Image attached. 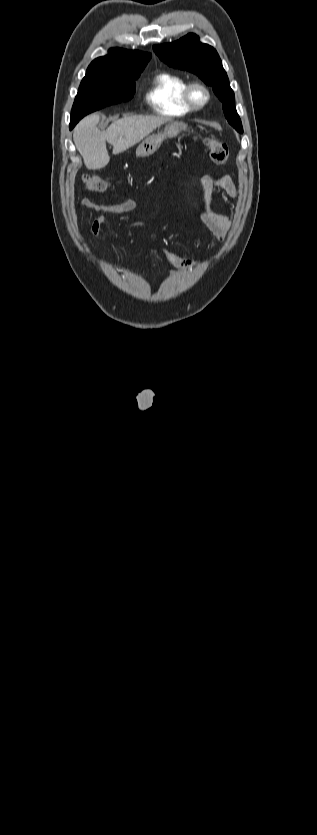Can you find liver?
Returning <instances> with one entry per match:
<instances>
[{
    "label": "liver",
    "mask_w": 317,
    "mask_h": 835,
    "mask_svg": "<svg viewBox=\"0 0 317 835\" xmlns=\"http://www.w3.org/2000/svg\"><path fill=\"white\" fill-rule=\"evenodd\" d=\"M100 118L91 114L82 119L73 131V140L88 169L98 170L110 161L106 142L117 155L139 143L154 129L167 121L161 117L125 116L117 119L101 132L97 128Z\"/></svg>",
    "instance_id": "1"
}]
</instances>
